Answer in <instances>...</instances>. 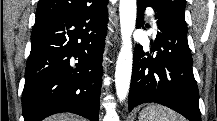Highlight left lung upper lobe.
I'll list each match as a JSON object with an SVG mask.
<instances>
[{
    "label": "left lung upper lobe",
    "mask_w": 217,
    "mask_h": 121,
    "mask_svg": "<svg viewBox=\"0 0 217 121\" xmlns=\"http://www.w3.org/2000/svg\"><path fill=\"white\" fill-rule=\"evenodd\" d=\"M161 6L163 10L170 14L173 19L187 28L185 22V0H152Z\"/></svg>",
    "instance_id": "left-lung-upper-lobe-1"
}]
</instances>
